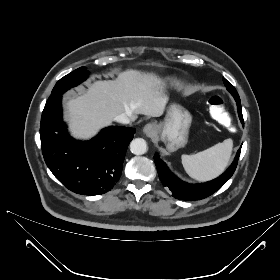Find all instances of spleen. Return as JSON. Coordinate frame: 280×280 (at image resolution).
Wrapping results in <instances>:
<instances>
[{
	"label": "spleen",
	"instance_id": "3e777b00",
	"mask_svg": "<svg viewBox=\"0 0 280 280\" xmlns=\"http://www.w3.org/2000/svg\"><path fill=\"white\" fill-rule=\"evenodd\" d=\"M233 148L232 139H225L196 154L182 155V165L186 173L198 181H208L219 176L226 169Z\"/></svg>",
	"mask_w": 280,
	"mask_h": 280
}]
</instances>
